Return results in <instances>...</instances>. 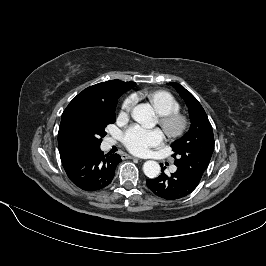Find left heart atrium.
Masks as SVG:
<instances>
[{
	"mask_svg": "<svg viewBox=\"0 0 266 266\" xmlns=\"http://www.w3.org/2000/svg\"><path fill=\"white\" fill-rule=\"evenodd\" d=\"M164 141V134L159 129H146L140 125L130 126L123 135L125 146L138 155L147 154L151 148L160 146Z\"/></svg>",
	"mask_w": 266,
	"mask_h": 266,
	"instance_id": "obj_1",
	"label": "left heart atrium"
}]
</instances>
